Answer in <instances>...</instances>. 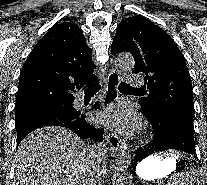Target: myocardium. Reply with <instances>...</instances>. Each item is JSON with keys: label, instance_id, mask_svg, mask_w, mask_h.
<instances>
[{"label": "myocardium", "instance_id": "f54148a6", "mask_svg": "<svg viewBox=\"0 0 207 185\" xmlns=\"http://www.w3.org/2000/svg\"><path fill=\"white\" fill-rule=\"evenodd\" d=\"M148 136H150V133L144 129L140 132L138 140L142 141L143 139L147 138Z\"/></svg>", "mask_w": 207, "mask_h": 185}]
</instances>
